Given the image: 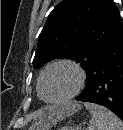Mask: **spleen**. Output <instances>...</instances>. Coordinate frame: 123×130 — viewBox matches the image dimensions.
Instances as JSON below:
<instances>
[{
	"label": "spleen",
	"instance_id": "obj_1",
	"mask_svg": "<svg viewBox=\"0 0 123 130\" xmlns=\"http://www.w3.org/2000/svg\"><path fill=\"white\" fill-rule=\"evenodd\" d=\"M84 106L91 114L86 130H123V122L107 108L94 103H84Z\"/></svg>",
	"mask_w": 123,
	"mask_h": 130
}]
</instances>
